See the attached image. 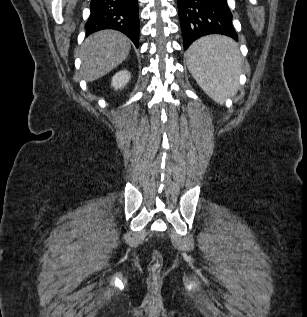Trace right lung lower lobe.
I'll return each instance as SVG.
<instances>
[{
	"mask_svg": "<svg viewBox=\"0 0 307 317\" xmlns=\"http://www.w3.org/2000/svg\"><path fill=\"white\" fill-rule=\"evenodd\" d=\"M90 10L85 25L87 35L102 29H114L127 35L138 47V0H92Z\"/></svg>",
	"mask_w": 307,
	"mask_h": 317,
	"instance_id": "obj_1",
	"label": "right lung lower lobe"
}]
</instances>
